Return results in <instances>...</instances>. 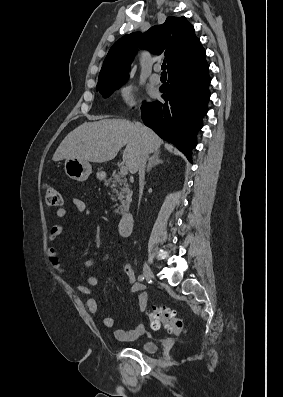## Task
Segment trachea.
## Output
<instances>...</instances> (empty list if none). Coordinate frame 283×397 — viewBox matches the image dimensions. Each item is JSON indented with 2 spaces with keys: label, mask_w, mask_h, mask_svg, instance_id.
Here are the masks:
<instances>
[{
  "label": "trachea",
  "mask_w": 283,
  "mask_h": 397,
  "mask_svg": "<svg viewBox=\"0 0 283 397\" xmlns=\"http://www.w3.org/2000/svg\"><path fill=\"white\" fill-rule=\"evenodd\" d=\"M166 68H167L166 64L163 63L162 66H161V69H162L161 75H166Z\"/></svg>",
  "instance_id": "obj_1"
}]
</instances>
